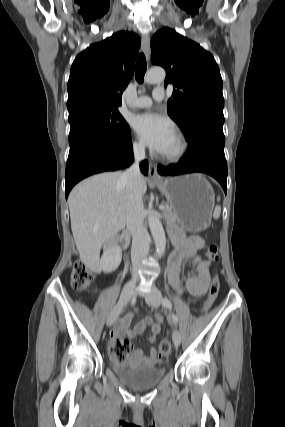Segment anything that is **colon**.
I'll list each match as a JSON object with an SVG mask.
<instances>
[{
	"mask_svg": "<svg viewBox=\"0 0 285 427\" xmlns=\"http://www.w3.org/2000/svg\"><path fill=\"white\" fill-rule=\"evenodd\" d=\"M207 258L215 262L218 260V248L215 245H210L206 250ZM93 280V274L86 267V265L77 261L74 264L72 273H71V285L74 290L82 292L89 288ZM220 290V281L217 275H214L207 296V300L203 306L202 311L206 312L216 300ZM171 343L168 339L163 340L159 345V354H158V363H163L166 361L167 357L171 352ZM111 357L118 363H124L127 360V357L130 352V346L127 342H123L115 346L114 348H110Z\"/></svg>",
	"mask_w": 285,
	"mask_h": 427,
	"instance_id": "obj_1",
	"label": "colon"
}]
</instances>
